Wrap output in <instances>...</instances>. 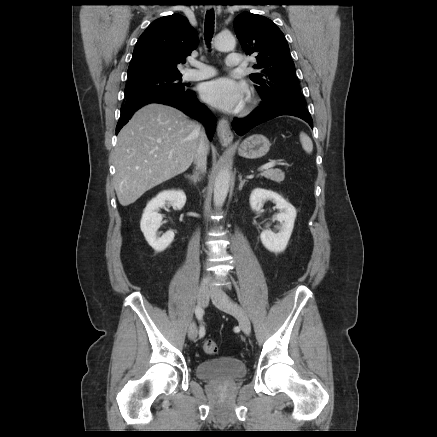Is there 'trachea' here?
<instances>
[{"instance_id":"trachea-1","label":"trachea","mask_w":437,"mask_h":437,"mask_svg":"<svg viewBox=\"0 0 437 437\" xmlns=\"http://www.w3.org/2000/svg\"><path fill=\"white\" fill-rule=\"evenodd\" d=\"M214 10L207 11L204 24V36L206 44L209 46L214 34Z\"/></svg>"}]
</instances>
